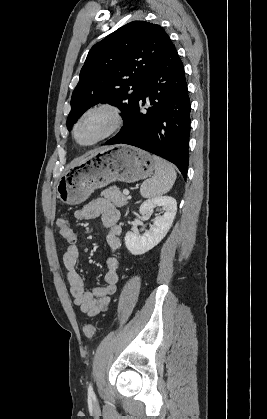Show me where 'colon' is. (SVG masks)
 <instances>
[{
  "instance_id": "5ec220e1",
  "label": "colon",
  "mask_w": 267,
  "mask_h": 419,
  "mask_svg": "<svg viewBox=\"0 0 267 419\" xmlns=\"http://www.w3.org/2000/svg\"><path fill=\"white\" fill-rule=\"evenodd\" d=\"M58 227L60 234L64 240L67 242H74L76 240V234L73 229L69 226L67 220L59 219L58 220ZM84 334L86 338H91L95 333V326L91 323L84 326Z\"/></svg>"
}]
</instances>
